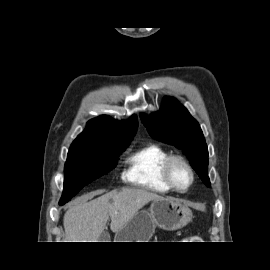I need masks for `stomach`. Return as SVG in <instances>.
Masks as SVG:
<instances>
[{
	"mask_svg": "<svg viewBox=\"0 0 270 270\" xmlns=\"http://www.w3.org/2000/svg\"><path fill=\"white\" fill-rule=\"evenodd\" d=\"M192 219L191 209L173 198H159L152 201L149 210H140L115 234V242H148L155 227L164 230H178Z\"/></svg>",
	"mask_w": 270,
	"mask_h": 270,
	"instance_id": "1",
	"label": "stomach"
}]
</instances>
